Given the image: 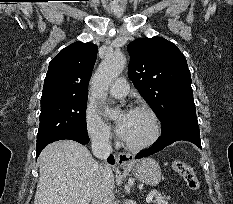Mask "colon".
Listing matches in <instances>:
<instances>
[{
  "label": "colon",
  "instance_id": "1",
  "mask_svg": "<svg viewBox=\"0 0 233 204\" xmlns=\"http://www.w3.org/2000/svg\"><path fill=\"white\" fill-rule=\"evenodd\" d=\"M173 169L180 174L191 190H198L200 183L195 175L193 168L181 160H175L172 163ZM201 204V203H198Z\"/></svg>",
  "mask_w": 233,
  "mask_h": 204
}]
</instances>
